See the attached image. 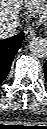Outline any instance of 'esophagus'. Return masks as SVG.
Instances as JSON below:
<instances>
[{"label": "esophagus", "instance_id": "esophagus-1", "mask_svg": "<svg viewBox=\"0 0 47 129\" xmlns=\"http://www.w3.org/2000/svg\"><path fill=\"white\" fill-rule=\"evenodd\" d=\"M34 35H35V31H34L33 28L28 27V28L25 29V38H26V40L32 39L34 37Z\"/></svg>", "mask_w": 47, "mask_h": 129}]
</instances>
